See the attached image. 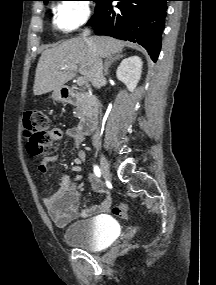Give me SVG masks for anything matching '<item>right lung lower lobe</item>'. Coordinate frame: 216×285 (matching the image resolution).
Segmentation results:
<instances>
[{
  "label": "right lung lower lobe",
  "mask_w": 216,
  "mask_h": 285,
  "mask_svg": "<svg viewBox=\"0 0 216 285\" xmlns=\"http://www.w3.org/2000/svg\"><path fill=\"white\" fill-rule=\"evenodd\" d=\"M99 0L95 14L87 25L94 26L97 35L140 43L156 62L164 29L167 5L170 0Z\"/></svg>",
  "instance_id": "1"
}]
</instances>
